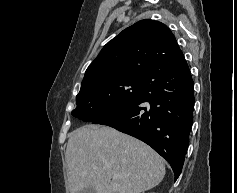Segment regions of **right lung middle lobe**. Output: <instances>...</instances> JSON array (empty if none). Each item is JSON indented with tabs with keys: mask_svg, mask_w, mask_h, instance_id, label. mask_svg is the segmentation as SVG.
<instances>
[{
	"mask_svg": "<svg viewBox=\"0 0 237 193\" xmlns=\"http://www.w3.org/2000/svg\"><path fill=\"white\" fill-rule=\"evenodd\" d=\"M143 79L144 76H125L81 87L72 115L90 122L122 108L137 96Z\"/></svg>",
	"mask_w": 237,
	"mask_h": 193,
	"instance_id": "right-lung-middle-lobe-1",
	"label": "right lung middle lobe"
}]
</instances>
